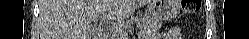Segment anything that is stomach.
Returning a JSON list of instances; mask_svg holds the SVG:
<instances>
[{
  "label": "stomach",
  "instance_id": "1",
  "mask_svg": "<svg viewBox=\"0 0 249 39\" xmlns=\"http://www.w3.org/2000/svg\"><path fill=\"white\" fill-rule=\"evenodd\" d=\"M148 9L155 18L172 20L179 13L180 0H152Z\"/></svg>",
  "mask_w": 249,
  "mask_h": 39
}]
</instances>
